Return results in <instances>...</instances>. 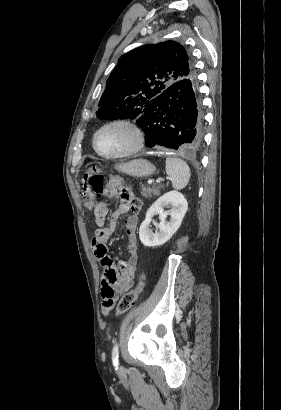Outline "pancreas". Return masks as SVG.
<instances>
[{"instance_id": "cf45deb5", "label": "pancreas", "mask_w": 281, "mask_h": 410, "mask_svg": "<svg viewBox=\"0 0 281 410\" xmlns=\"http://www.w3.org/2000/svg\"><path fill=\"white\" fill-rule=\"evenodd\" d=\"M152 194L155 196H158L160 194V187H152V188L147 187V186L142 187L141 195L143 197L150 198L152 197Z\"/></svg>"}]
</instances>
